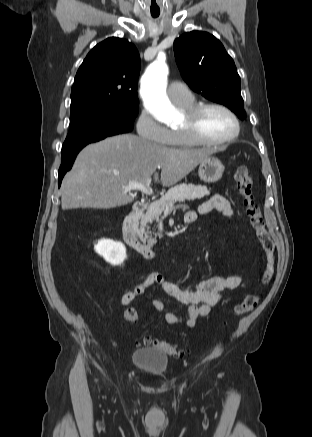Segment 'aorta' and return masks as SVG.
<instances>
[{
    "label": "aorta",
    "instance_id": "762f6f07",
    "mask_svg": "<svg viewBox=\"0 0 312 437\" xmlns=\"http://www.w3.org/2000/svg\"><path fill=\"white\" fill-rule=\"evenodd\" d=\"M168 67L158 58L149 65L141 79L140 93L145 107L161 123L169 124L175 117V109L166 95Z\"/></svg>",
    "mask_w": 312,
    "mask_h": 437
}]
</instances>
